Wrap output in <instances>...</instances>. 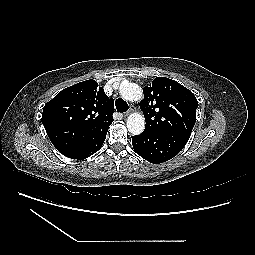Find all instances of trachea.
Listing matches in <instances>:
<instances>
[{
    "instance_id": "trachea-1",
    "label": "trachea",
    "mask_w": 255,
    "mask_h": 255,
    "mask_svg": "<svg viewBox=\"0 0 255 255\" xmlns=\"http://www.w3.org/2000/svg\"><path fill=\"white\" fill-rule=\"evenodd\" d=\"M116 109L120 113H124L128 110V104L122 99L118 98L115 102Z\"/></svg>"
}]
</instances>
